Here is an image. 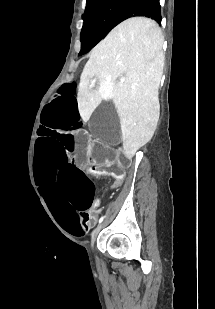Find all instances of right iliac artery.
Masks as SVG:
<instances>
[{"mask_svg": "<svg viewBox=\"0 0 215 309\" xmlns=\"http://www.w3.org/2000/svg\"><path fill=\"white\" fill-rule=\"evenodd\" d=\"M104 219V216L100 218L99 223H101Z\"/></svg>", "mask_w": 215, "mask_h": 309, "instance_id": "1", "label": "right iliac artery"}]
</instances>
